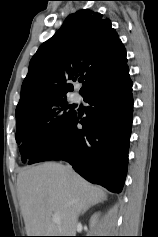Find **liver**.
I'll use <instances>...</instances> for the list:
<instances>
[{"label":"liver","mask_w":158,"mask_h":237,"mask_svg":"<svg viewBox=\"0 0 158 237\" xmlns=\"http://www.w3.org/2000/svg\"><path fill=\"white\" fill-rule=\"evenodd\" d=\"M17 191L27 236H72L80 213L106 198L101 187L56 162L21 170ZM55 213L59 222L52 220Z\"/></svg>","instance_id":"6515ba94"}]
</instances>
